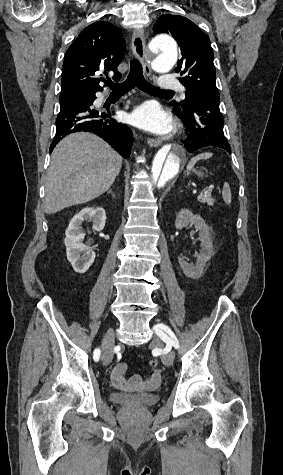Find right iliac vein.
<instances>
[{"label":"right iliac vein","mask_w":283,"mask_h":475,"mask_svg":"<svg viewBox=\"0 0 283 475\" xmlns=\"http://www.w3.org/2000/svg\"><path fill=\"white\" fill-rule=\"evenodd\" d=\"M114 342V332L113 330H109L106 332L104 339L102 341V362L103 365L107 366L111 363L113 354H112V346Z\"/></svg>","instance_id":"right-iliac-vein-1"}]
</instances>
